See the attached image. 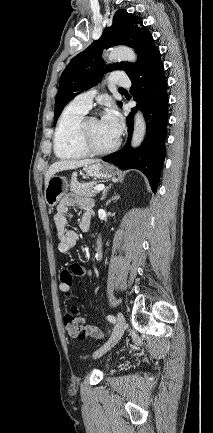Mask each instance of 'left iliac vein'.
<instances>
[{"label": "left iliac vein", "mask_w": 213, "mask_h": 433, "mask_svg": "<svg viewBox=\"0 0 213 433\" xmlns=\"http://www.w3.org/2000/svg\"><path fill=\"white\" fill-rule=\"evenodd\" d=\"M126 327V321L122 313L118 312L117 314V322L114 329L113 334L109 338V340L99 349L95 352V357H100L105 352H107L109 349H111L122 337L124 334Z\"/></svg>", "instance_id": "4c4485c4"}]
</instances>
